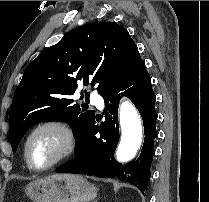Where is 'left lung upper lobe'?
<instances>
[{
    "label": "left lung upper lobe",
    "instance_id": "left-lung-upper-lobe-1",
    "mask_svg": "<svg viewBox=\"0 0 209 202\" xmlns=\"http://www.w3.org/2000/svg\"><path fill=\"white\" fill-rule=\"evenodd\" d=\"M142 63L136 44L119 24L92 23L74 29L24 71L9 112L13 152L27 130L40 122L65 121L77 143L95 118L83 104L73 105L71 96L78 85H96L102 96Z\"/></svg>",
    "mask_w": 209,
    "mask_h": 202
}]
</instances>
